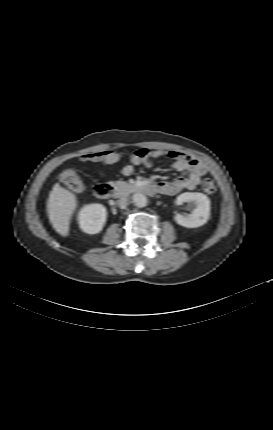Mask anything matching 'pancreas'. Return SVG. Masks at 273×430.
<instances>
[{
	"instance_id": "1",
	"label": "pancreas",
	"mask_w": 273,
	"mask_h": 430,
	"mask_svg": "<svg viewBox=\"0 0 273 430\" xmlns=\"http://www.w3.org/2000/svg\"><path fill=\"white\" fill-rule=\"evenodd\" d=\"M116 197L127 196L132 192L133 185L125 181L113 182Z\"/></svg>"
}]
</instances>
